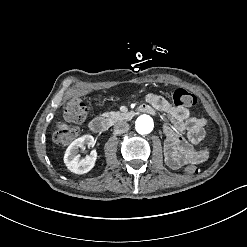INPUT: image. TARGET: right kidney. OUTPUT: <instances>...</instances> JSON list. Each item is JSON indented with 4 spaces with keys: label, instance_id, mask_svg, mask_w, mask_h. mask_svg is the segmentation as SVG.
I'll use <instances>...</instances> for the list:
<instances>
[{
    "label": "right kidney",
    "instance_id": "1",
    "mask_svg": "<svg viewBox=\"0 0 247 247\" xmlns=\"http://www.w3.org/2000/svg\"><path fill=\"white\" fill-rule=\"evenodd\" d=\"M94 138L90 134L75 139L66 149L64 163L69 171L75 174H85L93 169L96 164V152L92 151L89 156L81 158L79 151L84 146H92Z\"/></svg>",
    "mask_w": 247,
    "mask_h": 247
}]
</instances>
